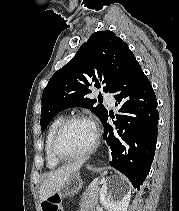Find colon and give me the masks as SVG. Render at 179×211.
<instances>
[{
  "mask_svg": "<svg viewBox=\"0 0 179 211\" xmlns=\"http://www.w3.org/2000/svg\"><path fill=\"white\" fill-rule=\"evenodd\" d=\"M42 211H62V202L59 195H52L45 199L42 204Z\"/></svg>",
  "mask_w": 179,
  "mask_h": 211,
  "instance_id": "colon-1",
  "label": "colon"
}]
</instances>
